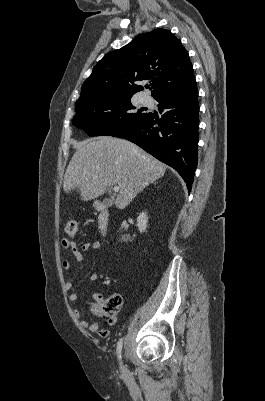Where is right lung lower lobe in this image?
I'll return each mask as SVG.
<instances>
[{"instance_id": "98d812e1", "label": "right lung lower lobe", "mask_w": 265, "mask_h": 401, "mask_svg": "<svg viewBox=\"0 0 265 401\" xmlns=\"http://www.w3.org/2000/svg\"><path fill=\"white\" fill-rule=\"evenodd\" d=\"M198 91L196 81L188 88L162 94L159 102L160 121L147 115L112 136L136 143L145 151L173 167L191 190L198 161Z\"/></svg>"}]
</instances>
